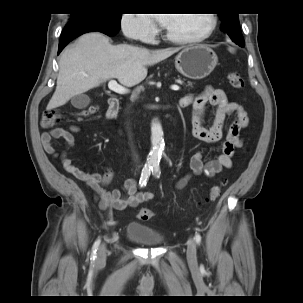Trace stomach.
I'll return each mask as SVG.
<instances>
[{"label": "stomach", "mask_w": 303, "mask_h": 303, "mask_svg": "<svg viewBox=\"0 0 303 303\" xmlns=\"http://www.w3.org/2000/svg\"><path fill=\"white\" fill-rule=\"evenodd\" d=\"M218 57L206 45L184 48L175 58L176 69L185 77L199 80L207 77L216 67Z\"/></svg>", "instance_id": "0dacf381"}]
</instances>
